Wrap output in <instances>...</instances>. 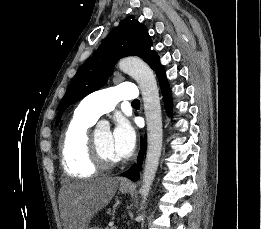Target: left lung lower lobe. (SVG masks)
<instances>
[{
    "label": "left lung lower lobe",
    "mask_w": 261,
    "mask_h": 229,
    "mask_svg": "<svg viewBox=\"0 0 261 229\" xmlns=\"http://www.w3.org/2000/svg\"><path fill=\"white\" fill-rule=\"evenodd\" d=\"M157 75L159 78V83H160V87L162 90L166 111L169 115H171L172 98H171V92H170V88L168 85V81L166 79L165 71L162 70ZM145 141H146V137H145ZM143 144H144V140H143V138H141V147H143ZM145 149H146V142H145ZM143 156H144V149L141 148V150L139 152V156H138V164L132 165L129 170H127L125 173L122 174V176H125L132 181H137L140 177L139 171L141 169Z\"/></svg>",
    "instance_id": "obj_1"
}]
</instances>
